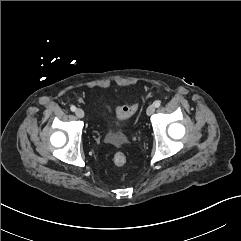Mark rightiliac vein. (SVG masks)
Listing matches in <instances>:
<instances>
[{
    "label": "right iliac vein",
    "instance_id": "right-iliac-vein-1",
    "mask_svg": "<svg viewBox=\"0 0 241 241\" xmlns=\"http://www.w3.org/2000/svg\"><path fill=\"white\" fill-rule=\"evenodd\" d=\"M75 114L78 118L84 117V111L81 108L76 109Z\"/></svg>",
    "mask_w": 241,
    "mask_h": 241
}]
</instances>
